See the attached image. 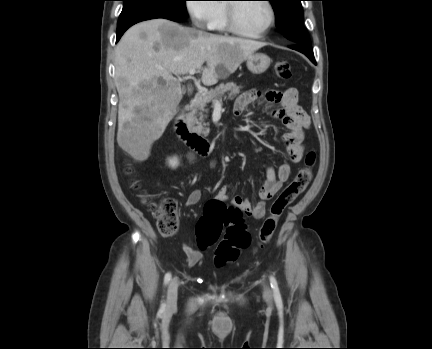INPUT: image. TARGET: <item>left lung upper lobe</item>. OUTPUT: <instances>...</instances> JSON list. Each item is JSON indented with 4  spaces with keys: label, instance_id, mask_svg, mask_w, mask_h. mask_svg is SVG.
<instances>
[{
    "label": "left lung upper lobe",
    "instance_id": "1",
    "mask_svg": "<svg viewBox=\"0 0 432 349\" xmlns=\"http://www.w3.org/2000/svg\"><path fill=\"white\" fill-rule=\"evenodd\" d=\"M276 14V27L286 38L295 44H308L310 39L303 26L301 0H268Z\"/></svg>",
    "mask_w": 432,
    "mask_h": 349
}]
</instances>
